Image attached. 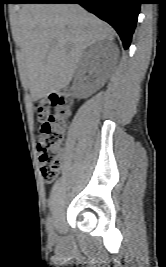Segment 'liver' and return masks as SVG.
<instances>
[{"mask_svg": "<svg viewBox=\"0 0 166 267\" xmlns=\"http://www.w3.org/2000/svg\"><path fill=\"white\" fill-rule=\"evenodd\" d=\"M114 30L78 4L22 6L14 29L20 71L34 101L69 85L84 50Z\"/></svg>", "mask_w": 166, "mask_h": 267, "instance_id": "1", "label": "liver"}]
</instances>
